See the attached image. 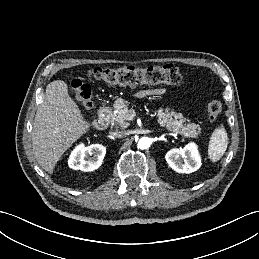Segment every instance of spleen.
Listing matches in <instances>:
<instances>
[{"mask_svg": "<svg viewBox=\"0 0 259 259\" xmlns=\"http://www.w3.org/2000/svg\"><path fill=\"white\" fill-rule=\"evenodd\" d=\"M228 146V135L223 126L216 128L210 138L208 156L212 162L219 161Z\"/></svg>", "mask_w": 259, "mask_h": 259, "instance_id": "3e777b00", "label": "spleen"}]
</instances>
